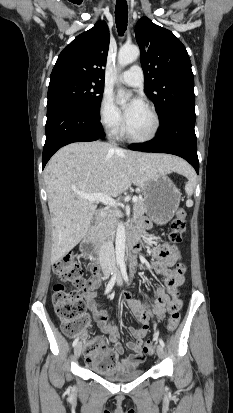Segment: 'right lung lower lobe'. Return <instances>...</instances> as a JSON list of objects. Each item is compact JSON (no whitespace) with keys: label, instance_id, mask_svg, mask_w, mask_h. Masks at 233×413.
Instances as JSON below:
<instances>
[{"label":"right lung lower lobe","instance_id":"right-lung-lower-lobe-1","mask_svg":"<svg viewBox=\"0 0 233 413\" xmlns=\"http://www.w3.org/2000/svg\"><path fill=\"white\" fill-rule=\"evenodd\" d=\"M104 136L100 116H92L75 106L66 104L47 107L42 168L61 147L73 142L95 141Z\"/></svg>","mask_w":233,"mask_h":413}]
</instances>
